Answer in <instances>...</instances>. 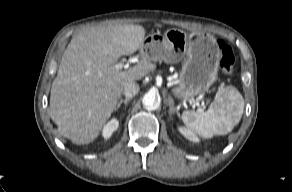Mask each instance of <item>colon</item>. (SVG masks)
<instances>
[{
  "label": "colon",
  "mask_w": 292,
  "mask_h": 192,
  "mask_svg": "<svg viewBox=\"0 0 292 192\" xmlns=\"http://www.w3.org/2000/svg\"><path fill=\"white\" fill-rule=\"evenodd\" d=\"M220 68L225 74H230L233 70L235 63V55L233 49L226 45L224 42L218 43Z\"/></svg>",
  "instance_id": "5ec220e1"
}]
</instances>
